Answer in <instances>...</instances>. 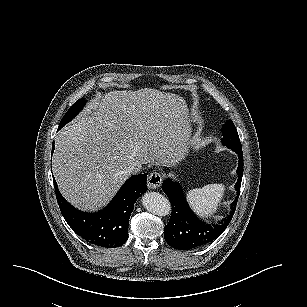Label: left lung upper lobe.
<instances>
[{
    "label": "left lung upper lobe",
    "mask_w": 307,
    "mask_h": 307,
    "mask_svg": "<svg viewBox=\"0 0 307 307\" xmlns=\"http://www.w3.org/2000/svg\"><path fill=\"white\" fill-rule=\"evenodd\" d=\"M222 143L233 151L242 150L236 127L231 119H229L222 127Z\"/></svg>",
    "instance_id": "obj_1"
}]
</instances>
